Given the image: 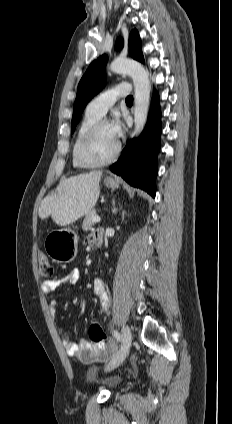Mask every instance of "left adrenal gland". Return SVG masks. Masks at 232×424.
<instances>
[{
    "label": "left adrenal gland",
    "instance_id": "obj_1",
    "mask_svg": "<svg viewBox=\"0 0 232 424\" xmlns=\"http://www.w3.org/2000/svg\"><path fill=\"white\" fill-rule=\"evenodd\" d=\"M114 213L117 214V209H114Z\"/></svg>",
    "mask_w": 232,
    "mask_h": 424
}]
</instances>
